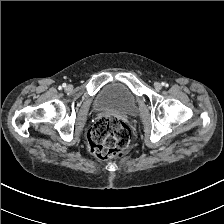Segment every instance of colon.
<instances>
[{"instance_id": "1", "label": "colon", "mask_w": 224, "mask_h": 224, "mask_svg": "<svg viewBox=\"0 0 224 224\" xmlns=\"http://www.w3.org/2000/svg\"><path fill=\"white\" fill-rule=\"evenodd\" d=\"M131 130L115 116L99 118L88 135V149L100 160L119 158L129 145Z\"/></svg>"}]
</instances>
